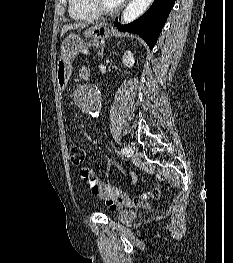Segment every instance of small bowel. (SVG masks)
I'll return each mask as SVG.
<instances>
[{
	"mask_svg": "<svg viewBox=\"0 0 233 263\" xmlns=\"http://www.w3.org/2000/svg\"><path fill=\"white\" fill-rule=\"evenodd\" d=\"M86 70H88L86 67H82L80 70V74ZM85 169L88 172V176L83 175V170H80V176L88 183L92 194L105 199L107 206L111 210L121 208L124 205V203L120 200V192L123 190L117 189L111 184L98 179L95 176L92 168L85 167ZM130 175L132 177V182H135L136 177L134 173L130 172Z\"/></svg>",
	"mask_w": 233,
	"mask_h": 263,
	"instance_id": "1",
	"label": "small bowel"
}]
</instances>
